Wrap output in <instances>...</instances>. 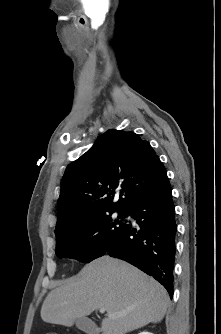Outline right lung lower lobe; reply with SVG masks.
<instances>
[{
	"instance_id": "right-lung-lower-lobe-1",
	"label": "right lung lower lobe",
	"mask_w": 221,
	"mask_h": 334,
	"mask_svg": "<svg viewBox=\"0 0 221 334\" xmlns=\"http://www.w3.org/2000/svg\"><path fill=\"white\" fill-rule=\"evenodd\" d=\"M140 226L126 225L106 254L125 260L153 276L173 295L177 224L172 189L165 177L127 212Z\"/></svg>"
}]
</instances>
